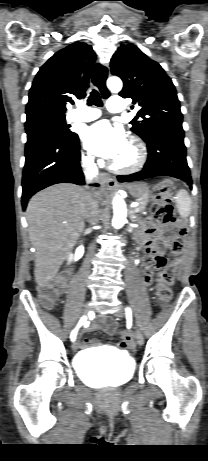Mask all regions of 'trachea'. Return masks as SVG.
<instances>
[{"label":"trachea","instance_id":"obj_1","mask_svg":"<svg viewBox=\"0 0 208 461\" xmlns=\"http://www.w3.org/2000/svg\"><path fill=\"white\" fill-rule=\"evenodd\" d=\"M106 75H107L106 68L102 66L101 64H97L95 73L93 76V83L100 89L104 98H107L109 96L108 91L105 89V85H104ZM87 104L96 105L98 107H101L103 105L100 95L97 90L95 89L92 90L88 98Z\"/></svg>","mask_w":208,"mask_h":461}]
</instances>
